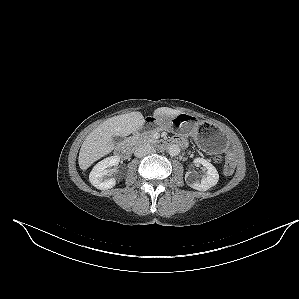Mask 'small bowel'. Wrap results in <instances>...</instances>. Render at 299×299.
Segmentation results:
<instances>
[{"instance_id": "small-bowel-1", "label": "small bowel", "mask_w": 299, "mask_h": 299, "mask_svg": "<svg viewBox=\"0 0 299 299\" xmlns=\"http://www.w3.org/2000/svg\"><path fill=\"white\" fill-rule=\"evenodd\" d=\"M181 140H183V139H181ZM183 141H184V140H183ZM184 145H185V141H184ZM184 145H183V146H184Z\"/></svg>"}]
</instances>
